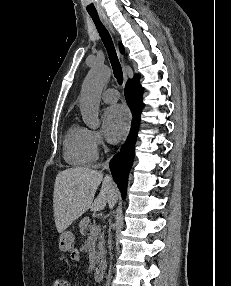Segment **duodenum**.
Returning a JSON list of instances; mask_svg holds the SVG:
<instances>
[{"instance_id": "duodenum-1", "label": "duodenum", "mask_w": 231, "mask_h": 286, "mask_svg": "<svg viewBox=\"0 0 231 286\" xmlns=\"http://www.w3.org/2000/svg\"><path fill=\"white\" fill-rule=\"evenodd\" d=\"M104 277V266L103 264H98L94 271V278L96 281L100 282L103 280Z\"/></svg>"}]
</instances>
